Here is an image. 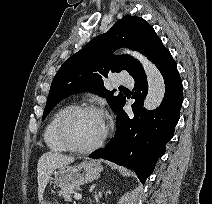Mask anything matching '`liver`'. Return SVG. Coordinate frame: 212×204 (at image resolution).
Returning <instances> with one entry per match:
<instances>
[{"label": "liver", "instance_id": "1", "mask_svg": "<svg viewBox=\"0 0 212 204\" xmlns=\"http://www.w3.org/2000/svg\"><path fill=\"white\" fill-rule=\"evenodd\" d=\"M75 159L55 152H46L37 164L38 199L41 200L51 174L59 167L73 163Z\"/></svg>", "mask_w": 212, "mask_h": 204}]
</instances>
